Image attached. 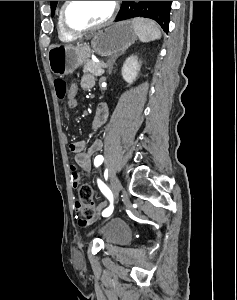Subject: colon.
<instances>
[{
  "mask_svg": "<svg viewBox=\"0 0 237 300\" xmlns=\"http://www.w3.org/2000/svg\"><path fill=\"white\" fill-rule=\"evenodd\" d=\"M54 87L56 91V95L59 99L67 100V103L70 107L75 108L78 105V98L76 96H71L69 94V89L66 82L63 79H56L54 81ZM78 188V196H79V205L81 207V213L85 218H93L96 215V210L94 207L93 196L94 191L93 188L89 184L79 183L76 185Z\"/></svg>",
  "mask_w": 237,
  "mask_h": 300,
  "instance_id": "obj_1",
  "label": "colon"
}]
</instances>
